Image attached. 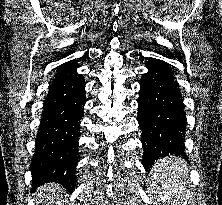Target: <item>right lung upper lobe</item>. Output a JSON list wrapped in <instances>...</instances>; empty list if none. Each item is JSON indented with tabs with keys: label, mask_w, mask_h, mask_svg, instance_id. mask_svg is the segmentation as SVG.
Instances as JSON below:
<instances>
[{
	"label": "right lung upper lobe",
	"mask_w": 222,
	"mask_h": 205,
	"mask_svg": "<svg viewBox=\"0 0 222 205\" xmlns=\"http://www.w3.org/2000/svg\"><path fill=\"white\" fill-rule=\"evenodd\" d=\"M74 68H77V64H63L61 66V68L59 69V71H62V70H67V69H74Z\"/></svg>",
	"instance_id": "obj_1"
}]
</instances>
